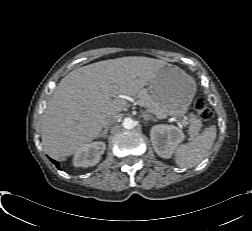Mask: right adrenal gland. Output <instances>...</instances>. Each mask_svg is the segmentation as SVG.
I'll return each instance as SVG.
<instances>
[{
	"label": "right adrenal gland",
	"mask_w": 252,
	"mask_h": 231,
	"mask_svg": "<svg viewBox=\"0 0 252 231\" xmlns=\"http://www.w3.org/2000/svg\"><path fill=\"white\" fill-rule=\"evenodd\" d=\"M109 128H105V130L102 131V133L99 135V138L103 137L106 138L107 137V133H108Z\"/></svg>",
	"instance_id": "1"
}]
</instances>
